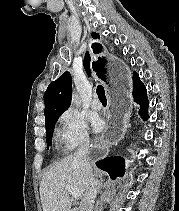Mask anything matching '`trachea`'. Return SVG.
<instances>
[{
    "instance_id": "1",
    "label": "trachea",
    "mask_w": 179,
    "mask_h": 211,
    "mask_svg": "<svg viewBox=\"0 0 179 211\" xmlns=\"http://www.w3.org/2000/svg\"><path fill=\"white\" fill-rule=\"evenodd\" d=\"M96 92L100 101H106L105 91L102 85H98Z\"/></svg>"
}]
</instances>
